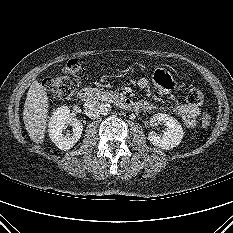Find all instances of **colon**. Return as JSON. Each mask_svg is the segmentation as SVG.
I'll return each mask as SVG.
<instances>
[{
	"label": "colon",
	"mask_w": 233,
	"mask_h": 233,
	"mask_svg": "<svg viewBox=\"0 0 233 233\" xmlns=\"http://www.w3.org/2000/svg\"><path fill=\"white\" fill-rule=\"evenodd\" d=\"M64 75L46 78L43 82L45 89L54 97L59 99H69L76 92L78 79L84 74V67L81 60L70 59L63 68ZM204 100L203 93L198 89H192L187 95V102L194 106H199ZM211 116L207 113L201 117L202 126H209Z\"/></svg>",
	"instance_id": "5ec220e1"
}]
</instances>
